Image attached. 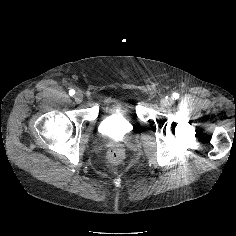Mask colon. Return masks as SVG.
I'll return each instance as SVG.
<instances>
[{"label":"colon","mask_w":236,"mask_h":236,"mask_svg":"<svg viewBox=\"0 0 236 236\" xmlns=\"http://www.w3.org/2000/svg\"><path fill=\"white\" fill-rule=\"evenodd\" d=\"M109 159L115 165H122L125 162L124 150L119 146H114L109 152Z\"/></svg>","instance_id":"5ec220e1"}]
</instances>
